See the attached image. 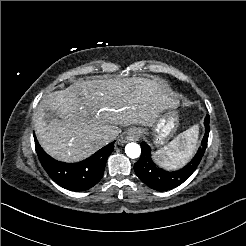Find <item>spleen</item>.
<instances>
[{"mask_svg": "<svg viewBox=\"0 0 246 246\" xmlns=\"http://www.w3.org/2000/svg\"><path fill=\"white\" fill-rule=\"evenodd\" d=\"M198 136L199 127L195 124L156 151V161L167 170L183 167L195 152Z\"/></svg>", "mask_w": 246, "mask_h": 246, "instance_id": "obj_1", "label": "spleen"}]
</instances>
